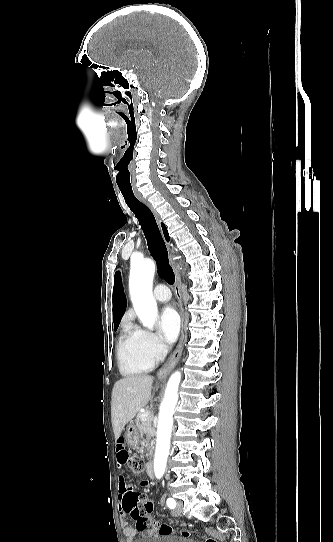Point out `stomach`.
Instances as JSON below:
<instances>
[{
  "mask_svg": "<svg viewBox=\"0 0 333 542\" xmlns=\"http://www.w3.org/2000/svg\"><path fill=\"white\" fill-rule=\"evenodd\" d=\"M125 438L128 446H131V448H135V446H138L139 444V434L136 426H134L133 422L131 424H128L125 432Z\"/></svg>",
  "mask_w": 333,
  "mask_h": 542,
  "instance_id": "0dacf381",
  "label": "stomach"
}]
</instances>
